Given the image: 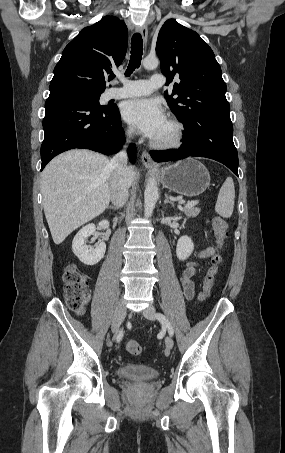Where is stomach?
Instances as JSON below:
<instances>
[{"mask_svg": "<svg viewBox=\"0 0 285 453\" xmlns=\"http://www.w3.org/2000/svg\"><path fill=\"white\" fill-rule=\"evenodd\" d=\"M162 185L182 196L202 194L210 184L207 168L198 160L187 158L158 171Z\"/></svg>", "mask_w": 285, "mask_h": 453, "instance_id": "1", "label": "stomach"}]
</instances>
